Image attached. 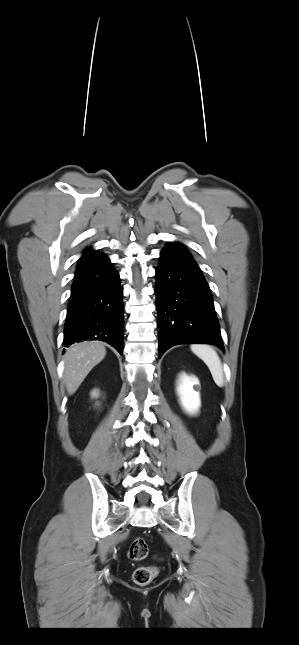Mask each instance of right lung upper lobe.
Segmentation results:
<instances>
[{"instance_id":"cb5924a9","label":"right lung upper lobe","mask_w":299,"mask_h":645,"mask_svg":"<svg viewBox=\"0 0 299 645\" xmlns=\"http://www.w3.org/2000/svg\"><path fill=\"white\" fill-rule=\"evenodd\" d=\"M105 255L98 250H91V249H86L85 253L81 256V258L78 261V267L84 266L86 264H89L95 260H98Z\"/></svg>"}]
</instances>
